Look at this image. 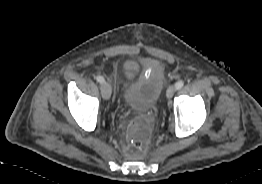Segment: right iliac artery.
<instances>
[{"label": "right iliac artery", "instance_id": "right-iliac-artery-1", "mask_svg": "<svg viewBox=\"0 0 262 184\" xmlns=\"http://www.w3.org/2000/svg\"><path fill=\"white\" fill-rule=\"evenodd\" d=\"M96 80L101 83V84H104L105 83V79L102 77V76H97L96 77Z\"/></svg>", "mask_w": 262, "mask_h": 184}]
</instances>
